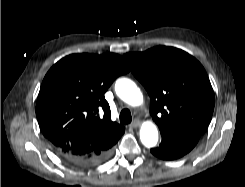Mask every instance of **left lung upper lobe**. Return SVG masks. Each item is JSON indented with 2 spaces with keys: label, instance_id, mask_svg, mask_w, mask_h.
<instances>
[{
  "label": "left lung upper lobe",
  "instance_id": "left-lung-upper-lobe-1",
  "mask_svg": "<svg viewBox=\"0 0 245 187\" xmlns=\"http://www.w3.org/2000/svg\"><path fill=\"white\" fill-rule=\"evenodd\" d=\"M123 58L150 96V113L161 133L203 135L214 94L203 66L183 50L158 46Z\"/></svg>",
  "mask_w": 245,
  "mask_h": 187
}]
</instances>
